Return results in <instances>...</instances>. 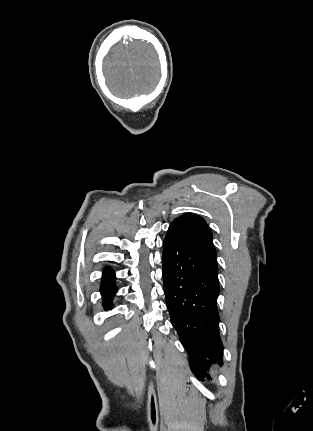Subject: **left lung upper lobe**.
I'll use <instances>...</instances> for the list:
<instances>
[{
	"label": "left lung upper lobe",
	"mask_w": 313,
	"mask_h": 431,
	"mask_svg": "<svg viewBox=\"0 0 313 431\" xmlns=\"http://www.w3.org/2000/svg\"><path fill=\"white\" fill-rule=\"evenodd\" d=\"M169 228L179 231L191 242L201 246L216 257L212 232L202 217L193 213H186L174 219Z\"/></svg>",
	"instance_id": "left-lung-upper-lobe-1"
}]
</instances>
